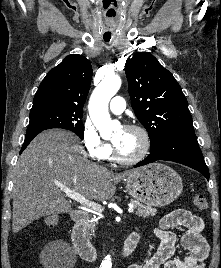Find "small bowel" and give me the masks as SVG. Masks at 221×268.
Instances as JSON below:
<instances>
[{
	"label": "small bowel",
	"instance_id": "obj_1",
	"mask_svg": "<svg viewBox=\"0 0 221 268\" xmlns=\"http://www.w3.org/2000/svg\"><path fill=\"white\" fill-rule=\"evenodd\" d=\"M184 229L181 245L188 251L183 259L173 257L178 238L171 228ZM203 220L183 209L174 210L165 215L154 230L160 244L156 253L145 263L132 264L128 268H204L209 255V245L202 236Z\"/></svg>",
	"mask_w": 221,
	"mask_h": 268
}]
</instances>
